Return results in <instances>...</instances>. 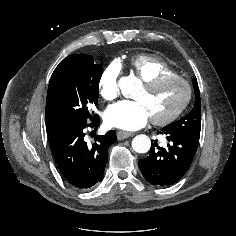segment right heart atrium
Instances as JSON below:
<instances>
[{
    "mask_svg": "<svg viewBox=\"0 0 236 236\" xmlns=\"http://www.w3.org/2000/svg\"><path fill=\"white\" fill-rule=\"evenodd\" d=\"M120 73L121 64L118 61L111 62L102 71L98 81V88L100 95L105 100L111 101L117 98Z\"/></svg>",
    "mask_w": 236,
    "mask_h": 236,
    "instance_id": "obj_1",
    "label": "right heart atrium"
}]
</instances>
